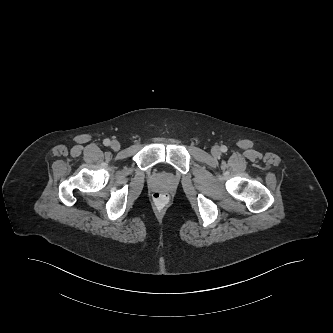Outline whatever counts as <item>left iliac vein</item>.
<instances>
[{
	"instance_id": "1",
	"label": "left iliac vein",
	"mask_w": 333,
	"mask_h": 333,
	"mask_svg": "<svg viewBox=\"0 0 333 333\" xmlns=\"http://www.w3.org/2000/svg\"><path fill=\"white\" fill-rule=\"evenodd\" d=\"M211 153H212L213 156L218 157L221 154V150H220V148L218 146H214L211 149Z\"/></svg>"
}]
</instances>
